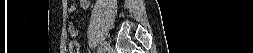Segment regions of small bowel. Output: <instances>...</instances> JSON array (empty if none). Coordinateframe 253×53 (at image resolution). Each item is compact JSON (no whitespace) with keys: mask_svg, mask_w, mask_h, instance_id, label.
Here are the masks:
<instances>
[{"mask_svg":"<svg viewBox=\"0 0 253 53\" xmlns=\"http://www.w3.org/2000/svg\"><path fill=\"white\" fill-rule=\"evenodd\" d=\"M74 10H71L73 12ZM68 32L72 37H76L78 35V30L73 24L68 25Z\"/></svg>","mask_w":253,"mask_h":53,"instance_id":"c3829d8e","label":"small bowel"}]
</instances>
